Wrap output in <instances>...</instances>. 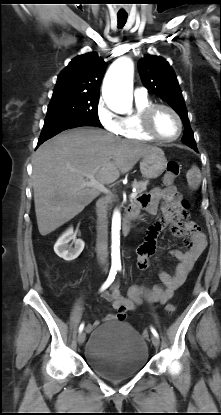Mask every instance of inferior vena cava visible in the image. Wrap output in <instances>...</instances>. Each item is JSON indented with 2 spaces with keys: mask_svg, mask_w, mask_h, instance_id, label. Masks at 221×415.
Segmentation results:
<instances>
[{
  "mask_svg": "<svg viewBox=\"0 0 221 415\" xmlns=\"http://www.w3.org/2000/svg\"><path fill=\"white\" fill-rule=\"evenodd\" d=\"M96 252L99 263L108 265V221L106 207L103 203L98 211Z\"/></svg>",
  "mask_w": 221,
  "mask_h": 415,
  "instance_id": "inferior-vena-cava-1",
  "label": "inferior vena cava"
}]
</instances>
